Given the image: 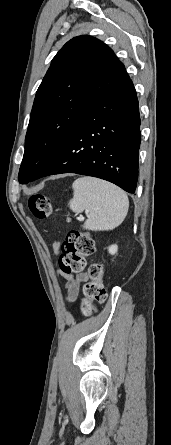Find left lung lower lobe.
<instances>
[{
    "mask_svg": "<svg viewBox=\"0 0 171 445\" xmlns=\"http://www.w3.org/2000/svg\"><path fill=\"white\" fill-rule=\"evenodd\" d=\"M139 147L138 100L129 78L79 118L53 155L24 184L72 172L98 177L135 193Z\"/></svg>",
    "mask_w": 171,
    "mask_h": 445,
    "instance_id": "0a47b994",
    "label": "left lung lower lobe"
}]
</instances>
